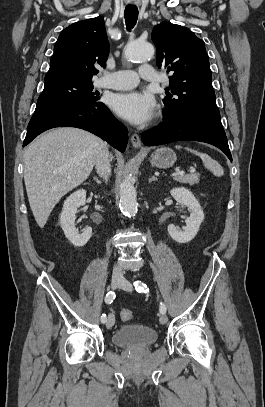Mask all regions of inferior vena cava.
I'll return each instance as SVG.
<instances>
[{
	"label": "inferior vena cava",
	"instance_id": "obj_1",
	"mask_svg": "<svg viewBox=\"0 0 265 407\" xmlns=\"http://www.w3.org/2000/svg\"><path fill=\"white\" fill-rule=\"evenodd\" d=\"M111 156L109 155L108 150L106 149L103 154H101L96 161L95 168L97 173L105 178L108 179V176L111 173V166H110ZM113 277L116 278H123V273L121 268L115 266L113 268Z\"/></svg>",
	"mask_w": 265,
	"mask_h": 407
}]
</instances>
